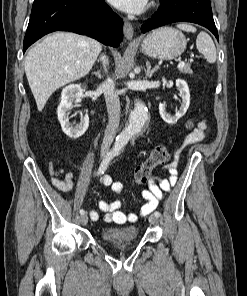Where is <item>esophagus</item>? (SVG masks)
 I'll use <instances>...</instances> for the list:
<instances>
[{
	"instance_id": "1",
	"label": "esophagus",
	"mask_w": 247,
	"mask_h": 296,
	"mask_svg": "<svg viewBox=\"0 0 247 296\" xmlns=\"http://www.w3.org/2000/svg\"><path fill=\"white\" fill-rule=\"evenodd\" d=\"M123 29H124V35H125L126 39L129 41H135V40H133L134 29H133L132 24L129 21H127V20L124 21Z\"/></svg>"
}]
</instances>
